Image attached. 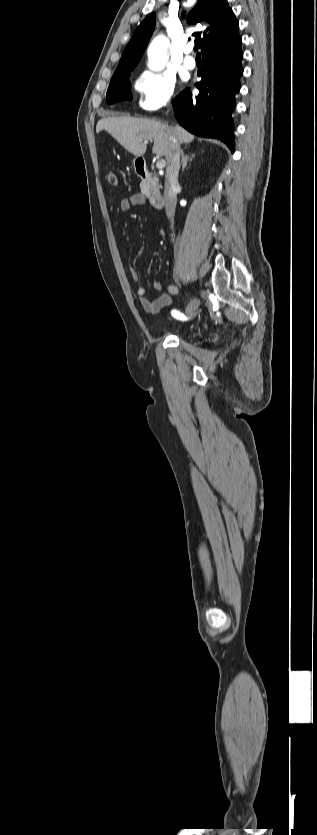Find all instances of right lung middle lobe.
Instances as JSON below:
<instances>
[{"label": "right lung middle lobe", "instance_id": "obj_1", "mask_svg": "<svg viewBox=\"0 0 317 835\" xmlns=\"http://www.w3.org/2000/svg\"><path fill=\"white\" fill-rule=\"evenodd\" d=\"M133 69L115 71L107 90L106 100L108 103H115L120 100L130 99V81L128 77Z\"/></svg>", "mask_w": 317, "mask_h": 835}]
</instances>
